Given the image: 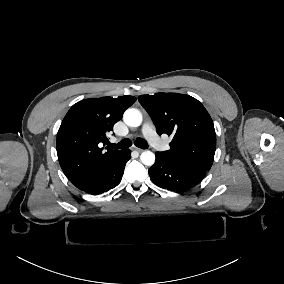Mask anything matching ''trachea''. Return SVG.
I'll use <instances>...</instances> for the list:
<instances>
[{
	"instance_id": "3493384b",
	"label": "trachea",
	"mask_w": 284,
	"mask_h": 284,
	"mask_svg": "<svg viewBox=\"0 0 284 284\" xmlns=\"http://www.w3.org/2000/svg\"><path fill=\"white\" fill-rule=\"evenodd\" d=\"M132 145V141L130 139H123L120 141L118 144H112L110 143L108 145L109 148L117 149V148H128ZM135 146L141 148V149H147L148 148V143L146 140L142 138H137L135 141Z\"/></svg>"
}]
</instances>
